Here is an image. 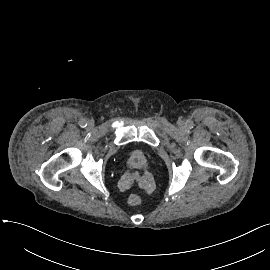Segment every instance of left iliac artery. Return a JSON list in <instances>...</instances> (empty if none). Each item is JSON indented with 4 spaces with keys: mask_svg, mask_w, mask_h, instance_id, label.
<instances>
[{
    "mask_svg": "<svg viewBox=\"0 0 270 270\" xmlns=\"http://www.w3.org/2000/svg\"><path fill=\"white\" fill-rule=\"evenodd\" d=\"M188 127L192 128L193 127V123L192 122H188Z\"/></svg>",
    "mask_w": 270,
    "mask_h": 270,
    "instance_id": "44dca946",
    "label": "left iliac artery"
}]
</instances>
